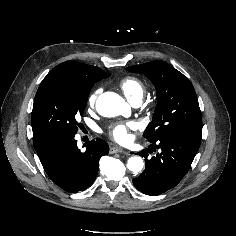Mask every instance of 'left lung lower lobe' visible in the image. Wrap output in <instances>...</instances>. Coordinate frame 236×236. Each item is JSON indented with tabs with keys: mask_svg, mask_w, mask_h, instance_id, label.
I'll list each match as a JSON object with an SVG mask.
<instances>
[{
	"mask_svg": "<svg viewBox=\"0 0 236 236\" xmlns=\"http://www.w3.org/2000/svg\"><path fill=\"white\" fill-rule=\"evenodd\" d=\"M198 140L181 137H163L151 143L160 148V153L147 159L148 152L139 153L145 157L146 168L140 176L133 179L134 186L146 195H160L175 187L188 172L200 147Z\"/></svg>",
	"mask_w": 236,
	"mask_h": 236,
	"instance_id": "1",
	"label": "left lung lower lobe"
}]
</instances>
